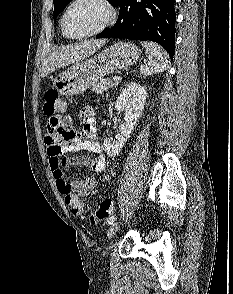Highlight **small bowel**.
Masks as SVG:
<instances>
[{"label":"small bowel","instance_id":"obj_1","mask_svg":"<svg viewBox=\"0 0 233 294\" xmlns=\"http://www.w3.org/2000/svg\"><path fill=\"white\" fill-rule=\"evenodd\" d=\"M68 118L73 122H80L81 129H76L74 123H69ZM48 131L45 136V144L49 156V164L54 176L58 191L65 196H85L90 193L99 182L110 179L109 175L101 178L87 176L80 180H68L65 171L72 165H83L91 170L101 173L106 168V160L102 154L98 142L97 128L94 119L93 109L85 107L80 110L78 117L76 108H63L53 110L51 117H48ZM88 152L95 156L79 155L75 157L63 156L66 153Z\"/></svg>","mask_w":233,"mask_h":294}]
</instances>
